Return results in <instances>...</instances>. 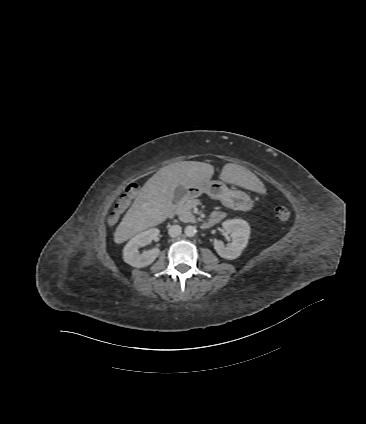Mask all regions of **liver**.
<instances>
[{"mask_svg": "<svg viewBox=\"0 0 366 424\" xmlns=\"http://www.w3.org/2000/svg\"><path fill=\"white\" fill-rule=\"evenodd\" d=\"M214 167L197 161H182L161 168L141 188L130 209L114 233V242L121 244L137 233L162 223L173 209L175 189L182 186L200 187L210 181ZM224 182L256 192L264 190V184L247 168L238 164L224 165L220 174Z\"/></svg>", "mask_w": 366, "mask_h": 424, "instance_id": "6515ba94", "label": "liver"}]
</instances>
